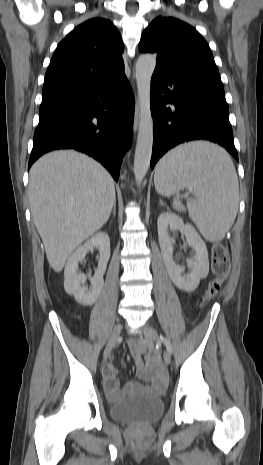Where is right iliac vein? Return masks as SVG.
Returning <instances> with one entry per match:
<instances>
[{
  "label": "right iliac vein",
  "mask_w": 263,
  "mask_h": 465,
  "mask_svg": "<svg viewBox=\"0 0 263 465\" xmlns=\"http://www.w3.org/2000/svg\"><path fill=\"white\" fill-rule=\"evenodd\" d=\"M121 330H122V325L120 323H118L112 330L111 334H110V337H109V340H108V343H107V346L104 350V354H103V357H104V360H107V358L110 356V353L112 351V348L115 346V344L118 342L119 338H120V334H121Z\"/></svg>",
  "instance_id": "63e3f726"
}]
</instances>
